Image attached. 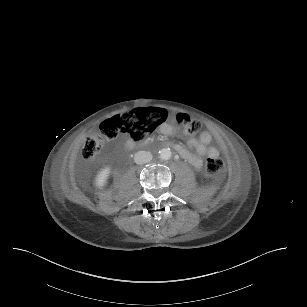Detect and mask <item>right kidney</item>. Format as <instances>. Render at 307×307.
Returning a JSON list of instances; mask_svg holds the SVG:
<instances>
[{"label": "right kidney", "instance_id": "obj_1", "mask_svg": "<svg viewBox=\"0 0 307 307\" xmlns=\"http://www.w3.org/2000/svg\"><path fill=\"white\" fill-rule=\"evenodd\" d=\"M109 174H110L109 168L101 170L95 178L96 187L102 188L106 184Z\"/></svg>", "mask_w": 307, "mask_h": 307}]
</instances>
